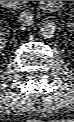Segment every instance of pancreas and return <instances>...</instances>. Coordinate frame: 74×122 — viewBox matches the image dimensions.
Instances as JSON below:
<instances>
[{"label": "pancreas", "instance_id": "obj_1", "mask_svg": "<svg viewBox=\"0 0 74 122\" xmlns=\"http://www.w3.org/2000/svg\"><path fill=\"white\" fill-rule=\"evenodd\" d=\"M28 3V1H22V4L26 5Z\"/></svg>", "mask_w": 74, "mask_h": 122}]
</instances>
